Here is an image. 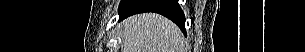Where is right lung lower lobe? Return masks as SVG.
Here are the masks:
<instances>
[{
	"label": "right lung lower lobe",
	"mask_w": 305,
	"mask_h": 52,
	"mask_svg": "<svg viewBox=\"0 0 305 52\" xmlns=\"http://www.w3.org/2000/svg\"><path fill=\"white\" fill-rule=\"evenodd\" d=\"M142 12L162 14L176 23L185 33V16L177 0H123L119 7L120 20Z\"/></svg>",
	"instance_id": "right-lung-lower-lobe-1"
}]
</instances>
